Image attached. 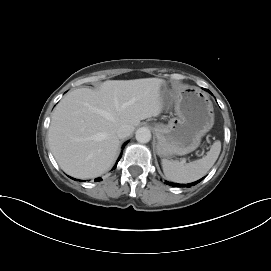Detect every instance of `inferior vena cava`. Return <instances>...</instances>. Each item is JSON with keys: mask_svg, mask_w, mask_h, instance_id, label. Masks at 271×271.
<instances>
[{"mask_svg": "<svg viewBox=\"0 0 271 271\" xmlns=\"http://www.w3.org/2000/svg\"><path fill=\"white\" fill-rule=\"evenodd\" d=\"M131 133L132 129L129 125H122L116 131V134L120 139L128 137Z\"/></svg>", "mask_w": 271, "mask_h": 271, "instance_id": "inferior-vena-cava-1", "label": "inferior vena cava"}]
</instances>
